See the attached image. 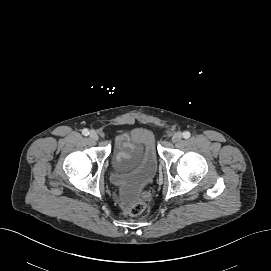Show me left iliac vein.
Returning a JSON list of instances; mask_svg holds the SVG:
<instances>
[{
    "label": "left iliac vein",
    "instance_id": "4c4485c4",
    "mask_svg": "<svg viewBox=\"0 0 271 271\" xmlns=\"http://www.w3.org/2000/svg\"><path fill=\"white\" fill-rule=\"evenodd\" d=\"M182 139V133L181 132H176L173 136H172V141L174 143H178L180 142Z\"/></svg>",
    "mask_w": 271,
    "mask_h": 271
}]
</instances>
